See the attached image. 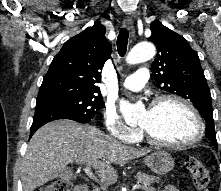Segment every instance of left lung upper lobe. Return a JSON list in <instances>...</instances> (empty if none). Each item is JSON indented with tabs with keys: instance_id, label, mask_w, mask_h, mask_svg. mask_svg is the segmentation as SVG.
<instances>
[{
	"instance_id": "obj_1",
	"label": "left lung upper lobe",
	"mask_w": 221,
	"mask_h": 191,
	"mask_svg": "<svg viewBox=\"0 0 221 191\" xmlns=\"http://www.w3.org/2000/svg\"><path fill=\"white\" fill-rule=\"evenodd\" d=\"M148 38L157 46L152 73L157 86L166 92L190 100L206 122L205 134L217 148L212 98L198 54L181 35L168 29L158 20L151 23Z\"/></svg>"
}]
</instances>
